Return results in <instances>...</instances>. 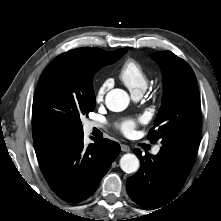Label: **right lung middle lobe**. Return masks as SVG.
I'll list each match as a JSON object with an SVG mask.
<instances>
[{
	"mask_svg": "<svg viewBox=\"0 0 221 221\" xmlns=\"http://www.w3.org/2000/svg\"><path fill=\"white\" fill-rule=\"evenodd\" d=\"M126 52L105 53L83 62L68 56L55 58L37 85L32 117L41 122L44 130L61 136L82 133L80 117L95 108L94 73Z\"/></svg>",
	"mask_w": 221,
	"mask_h": 221,
	"instance_id": "right-lung-middle-lobe-1",
	"label": "right lung middle lobe"
}]
</instances>
